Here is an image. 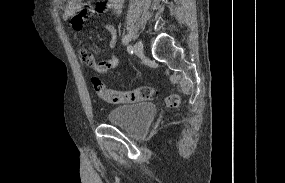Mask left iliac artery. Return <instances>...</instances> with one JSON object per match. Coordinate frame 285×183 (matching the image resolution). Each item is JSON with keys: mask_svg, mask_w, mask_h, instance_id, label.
Here are the masks:
<instances>
[{"mask_svg": "<svg viewBox=\"0 0 285 183\" xmlns=\"http://www.w3.org/2000/svg\"><path fill=\"white\" fill-rule=\"evenodd\" d=\"M130 41H131V35L130 34L124 36V38L122 39L123 43H128Z\"/></svg>", "mask_w": 285, "mask_h": 183, "instance_id": "1", "label": "left iliac artery"}]
</instances>
